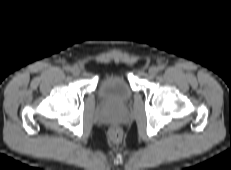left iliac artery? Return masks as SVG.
Listing matches in <instances>:
<instances>
[{"mask_svg": "<svg viewBox=\"0 0 231 170\" xmlns=\"http://www.w3.org/2000/svg\"><path fill=\"white\" fill-rule=\"evenodd\" d=\"M163 69H164V66H163V65H159V66H158V70H159V71H162Z\"/></svg>", "mask_w": 231, "mask_h": 170, "instance_id": "44dca946", "label": "left iliac artery"}]
</instances>
